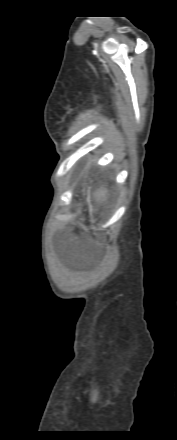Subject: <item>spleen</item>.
<instances>
[{
	"instance_id": "1",
	"label": "spleen",
	"mask_w": 177,
	"mask_h": 440,
	"mask_svg": "<svg viewBox=\"0 0 177 440\" xmlns=\"http://www.w3.org/2000/svg\"><path fill=\"white\" fill-rule=\"evenodd\" d=\"M106 192L107 191L105 189H100L99 191H97L96 194H95L97 200L99 201V200H101L102 197H105Z\"/></svg>"
}]
</instances>
